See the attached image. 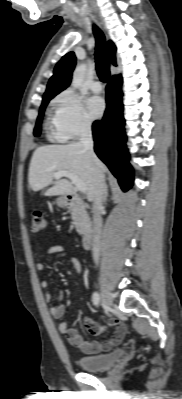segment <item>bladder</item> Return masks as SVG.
Masks as SVG:
<instances>
[{"label": "bladder", "mask_w": 182, "mask_h": 399, "mask_svg": "<svg viewBox=\"0 0 182 399\" xmlns=\"http://www.w3.org/2000/svg\"><path fill=\"white\" fill-rule=\"evenodd\" d=\"M123 355L124 351L122 349H116L108 354L79 357L77 364L85 372H100L110 368Z\"/></svg>", "instance_id": "1"}]
</instances>
